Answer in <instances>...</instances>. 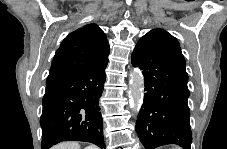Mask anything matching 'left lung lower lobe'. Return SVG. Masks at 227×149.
<instances>
[{"label": "left lung lower lobe", "mask_w": 227, "mask_h": 149, "mask_svg": "<svg viewBox=\"0 0 227 149\" xmlns=\"http://www.w3.org/2000/svg\"><path fill=\"white\" fill-rule=\"evenodd\" d=\"M131 57L145 79L144 103L136 123L143 146L177 144L191 149L188 74L179 43L170 33L154 29L138 41Z\"/></svg>", "instance_id": "left-lung-lower-lobe-1"}]
</instances>
